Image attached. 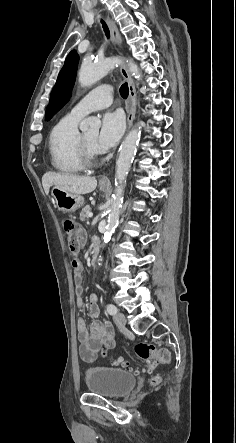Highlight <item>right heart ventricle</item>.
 <instances>
[{"label":"right heart ventricle","instance_id":"right-heart-ventricle-1","mask_svg":"<svg viewBox=\"0 0 236 443\" xmlns=\"http://www.w3.org/2000/svg\"><path fill=\"white\" fill-rule=\"evenodd\" d=\"M79 120L80 117L69 113L54 125L49 134L48 148L51 165L62 173L74 174L84 169L78 144Z\"/></svg>","mask_w":236,"mask_h":443}]
</instances>
